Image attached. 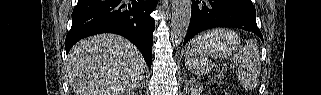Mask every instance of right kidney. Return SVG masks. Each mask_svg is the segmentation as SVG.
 Segmentation results:
<instances>
[{
    "mask_svg": "<svg viewBox=\"0 0 321 95\" xmlns=\"http://www.w3.org/2000/svg\"><path fill=\"white\" fill-rule=\"evenodd\" d=\"M127 95H132V93H127Z\"/></svg>",
    "mask_w": 321,
    "mask_h": 95,
    "instance_id": "obj_1",
    "label": "right kidney"
}]
</instances>
